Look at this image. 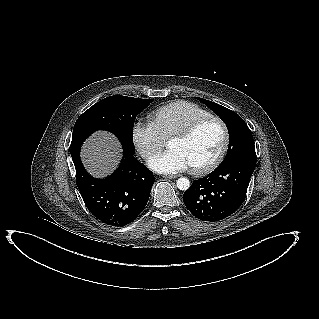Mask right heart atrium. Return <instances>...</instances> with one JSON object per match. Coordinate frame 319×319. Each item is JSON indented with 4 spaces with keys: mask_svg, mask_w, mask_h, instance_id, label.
<instances>
[{
    "mask_svg": "<svg viewBox=\"0 0 319 319\" xmlns=\"http://www.w3.org/2000/svg\"><path fill=\"white\" fill-rule=\"evenodd\" d=\"M132 142L145 160L150 159L165 146V139L151 122L137 121L131 130Z\"/></svg>",
    "mask_w": 319,
    "mask_h": 319,
    "instance_id": "obj_1",
    "label": "right heart atrium"
}]
</instances>
